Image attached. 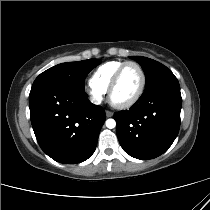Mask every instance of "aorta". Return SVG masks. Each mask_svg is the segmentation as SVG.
I'll list each match as a JSON object with an SVG mask.
<instances>
[{
    "label": "aorta",
    "mask_w": 210,
    "mask_h": 210,
    "mask_svg": "<svg viewBox=\"0 0 210 210\" xmlns=\"http://www.w3.org/2000/svg\"><path fill=\"white\" fill-rule=\"evenodd\" d=\"M106 126L109 129H112L116 126V121L114 119H108L106 120Z\"/></svg>",
    "instance_id": "obj_1"
}]
</instances>
